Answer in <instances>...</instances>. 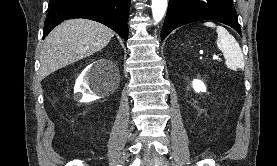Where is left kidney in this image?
<instances>
[{"label": "left kidney", "instance_id": "1", "mask_svg": "<svg viewBox=\"0 0 277 166\" xmlns=\"http://www.w3.org/2000/svg\"><path fill=\"white\" fill-rule=\"evenodd\" d=\"M192 86L196 92H205L206 91V87L201 80H198V79L193 80Z\"/></svg>", "mask_w": 277, "mask_h": 166}]
</instances>
